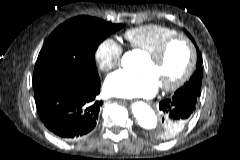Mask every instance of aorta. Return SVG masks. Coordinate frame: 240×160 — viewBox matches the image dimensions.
Segmentation results:
<instances>
[{
  "instance_id": "aorta-1",
  "label": "aorta",
  "mask_w": 240,
  "mask_h": 160,
  "mask_svg": "<svg viewBox=\"0 0 240 160\" xmlns=\"http://www.w3.org/2000/svg\"><path fill=\"white\" fill-rule=\"evenodd\" d=\"M131 108L134 117L141 127L147 130L157 127V116L149 105L142 101H137L132 104Z\"/></svg>"
}]
</instances>
